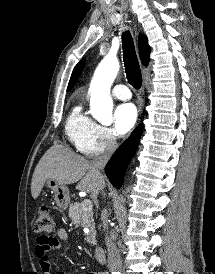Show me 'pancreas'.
Returning a JSON list of instances; mask_svg holds the SVG:
<instances>
[{"label":"pancreas","mask_w":215,"mask_h":274,"mask_svg":"<svg viewBox=\"0 0 215 274\" xmlns=\"http://www.w3.org/2000/svg\"><path fill=\"white\" fill-rule=\"evenodd\" d=\"M69 217L76 223L89 229L85 240L89 244L96 245V230L91 211H83V204L76 202L69 207Z\"/></svg>","instance_id":"pancreas-1"}]
</instances>
